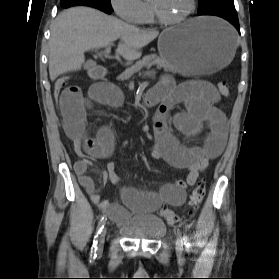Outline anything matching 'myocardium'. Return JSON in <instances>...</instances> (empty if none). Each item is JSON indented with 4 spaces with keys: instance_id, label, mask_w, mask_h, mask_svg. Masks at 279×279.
Instances as JSON below:
<instances>
[{
    "instance_id": "f54148a6",
    "label": "myocardium",
    "mask_w": 279,
    "mask_h": 279,
    "mask_svg": "<svg viewBox=\"0 0 279 279\" xmlns=\"http://www.w3.org/2000/svg\"><path fill=\"white\" fill-rule=\"evenodd\" d=\"M149 6L151 8L152 14L154 16V18L165 25H176L179 23H182L184 21H186L189 17H191V15L194 13L195 9H196V0H190V6L189 8L186 10V12L181 15L180 17L177 18H167L165 17L160 10L158 9V7L152 3V1L149 0Z\"/></svg>"
}]
</instances>
